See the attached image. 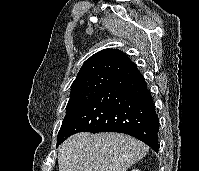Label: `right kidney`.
<instances>
[{"mask_svg":"<svg viewBox=\"0 0 199 171\" xmlns=\"http://www.w3.org/2000/svg\"><path fill=\"white\" fill-rule=\"evenodd\" d=\"M131 171H140V170H138V169H133V170H131Z\"/></svg>","mask_w":199,"mask_h":171,"instance_id":"right-kidney-1","label":"right kidney"}]
</instances>
